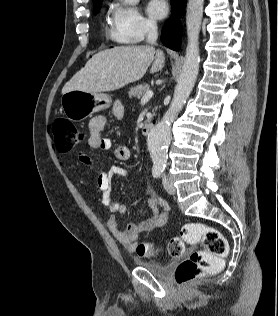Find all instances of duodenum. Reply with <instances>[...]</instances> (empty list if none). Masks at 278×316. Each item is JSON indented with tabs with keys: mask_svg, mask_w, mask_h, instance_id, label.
Returning a JSON list of instances; mask_svg holds the SVG:
<instances>
[{
	"mask_svg": "<svg viewBox=\"0 0 278 316\" xmlns=\"http://www.w3.org/2000/svg\"><path fill=\"white\" fill-rule=\"evenodd\" d=\"M155 126V122H148L146 124H144V126L142 127V133L144 135H148L151 133V131L153 130Z\"/></svg>",
	"mask_w": 278,
	"mask_h": 316,
	"instance_id": "1",
	"label": "duodenum"
}]
</instances>
